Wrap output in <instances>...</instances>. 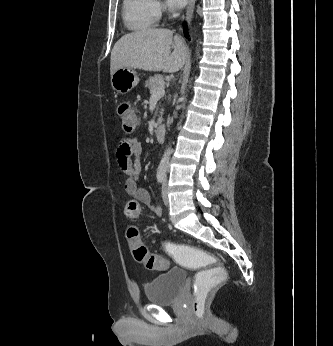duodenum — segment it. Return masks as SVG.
I'll use <instances>...</instances> for the list:
<instances>
[{"mask_svg": "<svg viewBox=\"0 0 333 346\" xmlns=\"http://www.w3.org/2000/svg\"><path fill=\"white\" fill-rule=\"evenodd\" d=\"M166 128L164 125H158L155 128V137L159 142H163L165 139Z\"/></svg>", "mask_w": 333, "mask_h": 346, "instance_id": "obj_1", "label": "duodenum"}]
</instances>
